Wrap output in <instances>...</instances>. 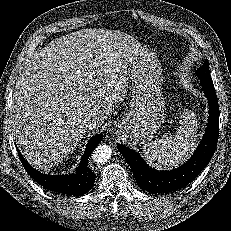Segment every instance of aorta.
Returning <instances> with one entry per match:
<instances>
[{"instance_id": "aorta-1", "label": "aorta", "mask_w": 231, "mask_h": 231, "mask_svg": "<svg viewBox=\"0 0 231 231\" xmlns=\"http://www.w3.org/2000/svg\"><path fill=\"white\" fill-rule=\"evenodd\" d=\"M112 155V149L107 145L97 146L92 153V160L97 164L106 163Z\"/></svg>"}]
</instances>
